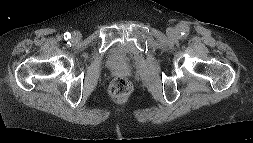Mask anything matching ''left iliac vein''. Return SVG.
<instances>
[{"label":"left iliac vein","mask_w":253,"mask_h":143,"mask_svg":"<svg viewBox=\"0 0 253 143\" xmlns=\"http://www.w3.org/2000/svg\"><path fill=\"white\" fill-rule=\"evenodd\" d=\"M167 36L173 40H176L178 38L177 31L173 28H169L167 30Z\"/></svg>","instance_id":"left-iliac-vein-1"}]
</instances>
